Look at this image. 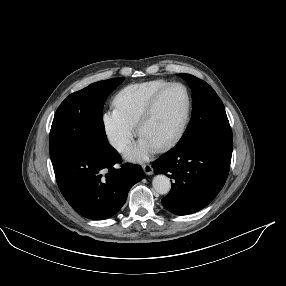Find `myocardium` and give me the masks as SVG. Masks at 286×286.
Instances as JSON below:
<instances>
[{
	"mask_svg": "<svg viewBox=\"0 0 286 286\" xmlns=\"http://www.w3.org/2000/svg\"><path fill=\"white\" fill-rule=\"evenodd\" d=\"M175 87L181 88L184 92L185 101H186L185 111H184L182 121H181L179 127L177 128V130L166 141H164L162 144H160L156 147V151L159 153L166 152V151L170 150L172 147H174L179 142V140L183 136V134H184V132L188 126V123L190 120V115H191V97H190V93H189L187 87L182 83L173 82V83H170V84L166 85L165 87L161 88L148 101V103L146 104L145 108L143 109L141 115L139 116V119H138L137 124H136L137 130H138L139 134H141V131H142L144 124L152 115V113H153L157 103L161 99V97L167 91H169L170 89L175 88Z\"/></svg>",
	"mask_w": 286,
	"mask_h": 286,
	"instance_id": "f54148a6",
	"label": "myocardium"
}]
</instances>
